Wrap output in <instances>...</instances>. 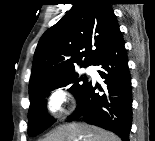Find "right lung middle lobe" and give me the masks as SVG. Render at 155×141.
I'll use <instances>...</instances> for the list:
<instances>
[{"label":"right lung middle lobe","instance_id":"dd1d6c3e","mask_svg":"<svg viewBox=\"0 0 155 141\" xmlns=\"http://www.w3.org/2000/svg\"><path fill=\"white\" fill-rule=\"evenodd\" d=\"M88 82L86 77L79 78L75 70H71L46 78L29 88L28 135L36 136L55 123V120L45 112L44 100L51 91L61 87H69V91L78 98Z\"/></svg>","mask_w":155,"mask_h":141}]
</instances>
